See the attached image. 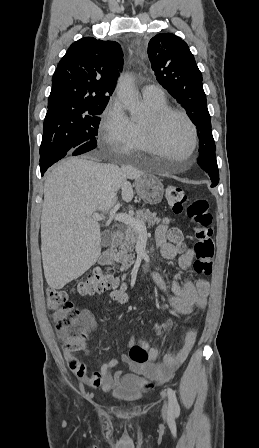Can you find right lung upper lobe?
<instances>
[{
	"label": "right lung upper lobe",
	"instance_id": "right-lung-upper-lobe-1",
	"mask_svg": "<svg viewBox=\"0 0 259 448\" xmlns=\"http://www.w3.org/2000/svg\"><path fill=\"white\" fill-rule=\"evenodd\" d=\"M123 68L114 41L82 38L73 43L52 78L47 113L67 114L106 106Z\"/></svg>",
	"mask_w": 259,
	"mask_h": 448
}]
</instances>
